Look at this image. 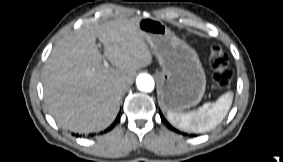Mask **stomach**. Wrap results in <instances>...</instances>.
Here are the masks:
<instances>
[{"label": "stomach", "mask_w": 283, "mask_h": 162, "mask_svg": "<svg viewBox=\"0 0 283 162\" xmlns=\"http://www.w3.org/2000/svg\"><path fill=\"white\" fill-rule=\"evenodd\" d=\"M137 30L162 67L156 76L164 110L180 111L197 105L205 92L206 78L196 51L155 18H138Z\"/></svg>", "instance_id": "1"}]
</instances>
